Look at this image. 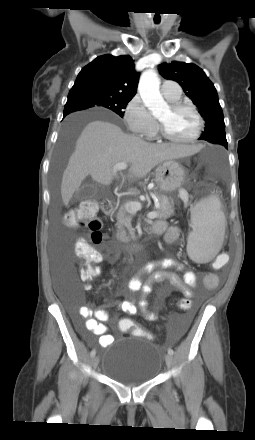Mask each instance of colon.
I'll return each mask as SVG.
<instances>
[{
	"mask_svg": "<svg viewBox=\"0 0 255 440\" xmlns=\"http://www.w3.org/2000/svg\"><path fill=\"white\" fill-rule=\"evenodd\" d=\"M97 204L93 201H84L77 208L69 211L64 216V222L70 227L86 228L90 232V240L98 245L104 241L101 232V221L97 217ZM75 250L77 256L84 262L85 270L82 273L84 280H91L99 272L98 264L101 261L100 252L86 240L80 239L76 242ZM214 274L206 276V282ZM176 305L179 311H191L194 308L191 298H176ZM122 331H131L136 336L148 337V335L131 318H122L119 321Z\"/></svg>",
	"mask_w": 255,
	"mask_h": 440,
	"instance_id": "colon-1",
	"label": "colon"
}]
</instances>
